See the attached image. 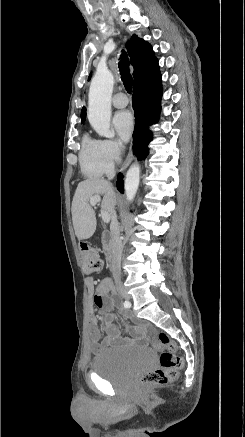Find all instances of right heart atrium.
I'll return each mask as SVG.
<instances>
[{
    "label": "right heart atrium",
    "instance_id": "right-heart-atrium-1",
    "mask_svg": "<svg viewBox=\"0 0 245 437\" xmlns=\"http://www.w3.org/2000/svg\"><path fill=\"white\" fill-rule=\"evenodd\" d=\"M99 145L106 174H111L122 160L124 147L120 141L115 139L100 140Z\"/></svg>",
    "mask_w": 245,
    "mask_h": 437
}]
</instances>
